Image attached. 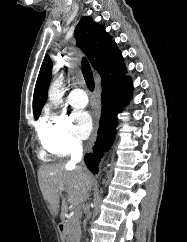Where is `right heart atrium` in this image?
I'll use <instances>...</instances> for the list:
<instances>
[{
	"instance_id": "d8ad5b80",
	"label": "right heart atrium",
	"mask_w": 187,
	"mask_h": 242,
	"mask_svg": "<svg viewBox=\"0 0 187 242\" xmlns=\"http://www.w3.org/2000/svg\"><path fill=\"white\" fill-rule=\"evenodd\" d=\"M41 143L58 156H67L81 148L80 140L75 136L71 119L65 114L47 111L39 124Z\"/></svg>"
}]
</instances>
